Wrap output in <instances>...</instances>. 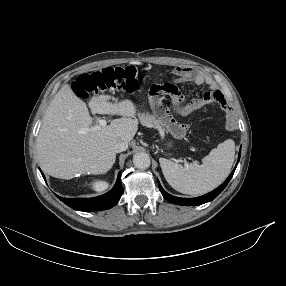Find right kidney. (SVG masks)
Here are the masks:
<instances>
[{
    "mask_svg": "<svg viewBox=\"0 0 286 286\" xmlns=\"http://www.w3.org/2000/svg\"><path fill=\"white\" fill-rule=\"evenodd\" d=\"M107 187H108V183L105 181H95L92 184V188L98 192L107 189Z\"/></svg>",
    "mask_w": 286,
    "mask_h": 286,
    "instance_id": "obj_1",
    "label": "right kidney"
}]
</instances>
